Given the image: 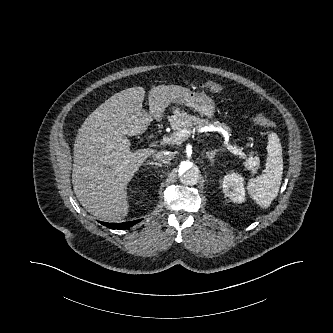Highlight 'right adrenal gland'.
Here are the masks:
<instances>
[{"label":"right adrenal gland","instance_id":"right-adrenal-gland-1","mask_svg":"<svg viewBox=\"0 0 333 333\" xmlns=\"http://www.w3.org/2000/svg\"><path fill=\"white\" fill-rule=\"evenodd\" d=\"M147 165H155V166H158V167H161V164L160 163H157V162H153V161H149L146 163Z\"/></svg>","mask_w":333,"mask_h":333}]
</instances>
